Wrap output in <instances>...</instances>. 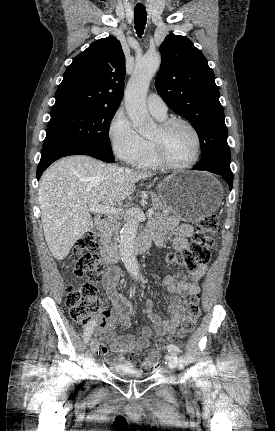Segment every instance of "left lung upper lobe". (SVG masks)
Returning <instances> with one entry per match:
<instances>
[{"instance_id":"5c2ea615","label":"left lung upper lobe","mask_w":275,"mask_h":431,"mask_svg":"<svg viewBox=\"0 0 275 431\" xmlns=\"http://www.w3.org/2000/svg\"><path fill=\"white\" fill-rule=\"evenodd\" d=\"M155 87L166 104L191 122L199 136V167L229 168L231 153L219 89L203 53L185 36L169 34L160 46Z\"/></svg>"}]
</instances>
